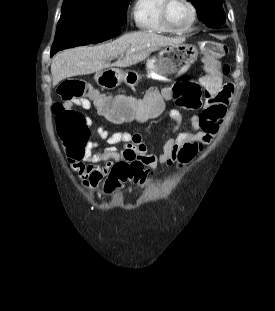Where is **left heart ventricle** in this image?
Returning a JSON list of instances; mask_svg holds the SVG:
<instances>
[{
    "label": "left heart ventricle",
    "instance_id": "b2bd125f",
    "mask_svg": "<svg viewBox=\"0 0 275 311\" xmlns=\"http://www.w3.org/2000/svg\"><path fill=\"white\" fill-rule=\"evenodd\" d=\"M192 18L191 9L184 0H174L169 7V19L174 27H186Z\"/></svg>",
    "mask_w": 275,
    "mask_h": 311
}]
</instances>
